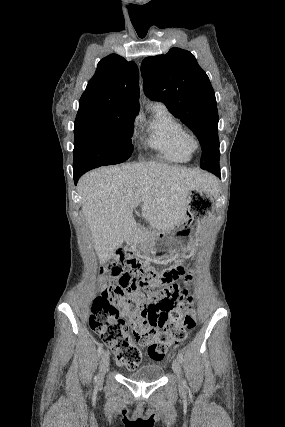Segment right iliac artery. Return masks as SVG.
<instances>
[{
    "label": "right iliac artery",
    "mask_w": 285,
    "mask_h": 427,
    "mask_svg": "<svg viewBox=\"0 0 285 427\" xmlns=\"http://www.w3.org/2000/svg\"><path fill=\"white\" fill-rule=\"evenodd\" d=\"M103 352V345H99L98 347V356L100 357ZM98 376L95 377V382H97Z\"/></svg>",
    "instance_id": "right-iliac-artery-1"
}]
</instances>
